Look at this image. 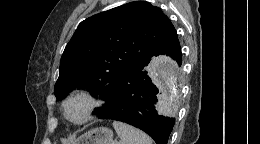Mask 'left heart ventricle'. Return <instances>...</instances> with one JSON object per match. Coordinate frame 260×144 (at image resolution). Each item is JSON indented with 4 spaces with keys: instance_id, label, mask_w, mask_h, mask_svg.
Returning a JSON list of instances; mask_svg holds the SVG:
<instances>
[{
    "instance_id": "1",
    "label": "left heart ventricle",
    "mask_w": 260,
    "mask_h": 144,
    "mask_svg": "<svg viewBox=\"0 0 260 144\" xmlns=\"http://www.w3.org/2000/svg\"><path fill=\"white\" fill-rule=\"evenodd\" d=\"M86 104L81 99H76L68 104V116L73 120H78L82 117Z\"/></svg>"
}]
</instances>
